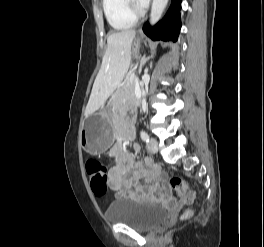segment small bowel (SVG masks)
Masks as SVG:
<instances>
[{"instance_id":"obj_1","label":"small bowel","mask_w":264,"mask_h":247,"mask_svg":"<svg viewBox=\"0 0 264 247\" xmlns=\"http://www.w3.org/2000/svg\"><path fill=\"white\" fill-rule=\"evenodd\" d=\"M135 128L131 121H125L120 130L123 141L134 137ZM135 152H140V145L134 144ZM110 155L116 165L109 170V186L116 192L117 199H150L153 201L168 200L171 196L167 177L152 160L135 162L134 157L120 144H115Z\"/></svg>"}]
</instances>
